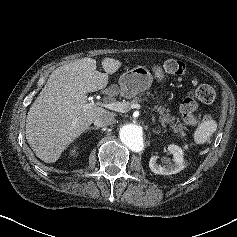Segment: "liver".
<instances>
[{"instance_id":"liver-1","label":"liver","mask_w":237,"mask_h":237,"mask_svg":"<svg viewBox=\"0 0 237 237\" xmlns=\"http://www.w3.org/2000/svg\"><path fill=\"white\" fill-rule=\"evenodd\" d=\"M101 64L104 73L96 70V60L92 58L79 59L56 68L30 107L26 139L42 161L56 162L97 117L110 113L88 102L87 93L105 88L109 75L117 72L122 62L104 58Z\"/></svg>"}]
</instances>
